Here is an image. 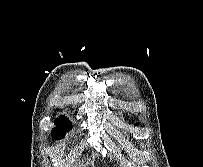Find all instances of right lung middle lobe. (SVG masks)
<instances>
[{"label":"right lung middle lobe","mask_w":203,"mask_h":167,"mask_svg":"<svg viewBox=\"0 0 203 167\" xmlns=\"http://www.w3.org/2000/svg\"><path fill=\"white\" fill-rule=\"evenodd\" d=\"M55 124L58 126V128H53L52 130V136H53V139L55 140H58L61 137H63L64 133L71 128V125L68 119L64 116L57 118L55 120Z\"/></svg>","instance_id":"1"}]
</instances>
